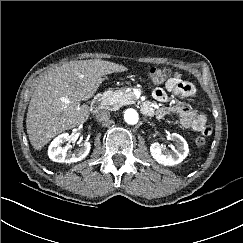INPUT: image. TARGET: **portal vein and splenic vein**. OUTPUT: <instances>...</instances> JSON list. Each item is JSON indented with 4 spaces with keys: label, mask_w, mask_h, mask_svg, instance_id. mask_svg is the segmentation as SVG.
I'll use <instances>...</instances> for the list:
<instances>
[{
    "label": "portal vein and splenic vein",
    "mask_w": 243,
    "mask_h": 243,
    "mask_svg": "<svg viewBox=\"0 0 243 243\" xmlns=\"http://www.w3.org/2000/svg\"><path fill=\"white\" fill-rule=\"evenodd\" d=\"M62 101H64L65 103H69V101L64 98L62 99Z\"/></svg>",
    "instance_id": "18ae733b"
}]
</instances>
